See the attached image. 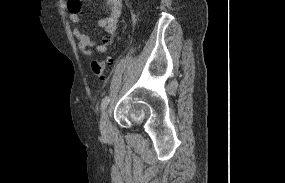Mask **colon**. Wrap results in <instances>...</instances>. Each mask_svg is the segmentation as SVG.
<instances>
[{
	"label": "colon",
	"instance_id": "5ec220e1",
	"mask_svg": "<svg viewBox=\"0 0 285 183\" xmlns=\"http://www.w3.org/2000/svg\"><path fill=\"white\" fill-rule=\"evenodd\" d=\"M69 3L74 2V0H68ZM70 10L75 12L76 11V7L71 5L70 6ZM111 62L110 58L104 59V60H99V61H93L91 63V70L93 72V74L102 79L104 77V73H105V69L106 66Z\"/></svg>",
	"mask_w": 285,
	"mask_h": 183
}]
</instances>
